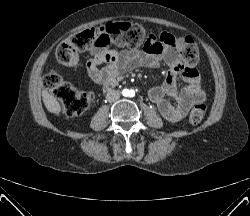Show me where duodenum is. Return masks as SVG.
I'll use <instances>...</instances> for the list:
<instances>
[{
	"mask_svg": "<svg viewBox=\"0 0 250 216\" xmlns=\"http://www.w3.org/2000/svg\"><path fill=\"white\" fill-rule=\"evenodd\" d=\"M115 86V81H109L104 85V90L108 91Z\"/></svg>",
	"mask_w": 250,
	"mask_h": 216,
	"instance_id": "1",
	"label": "duodenum"
}]
</instances>
